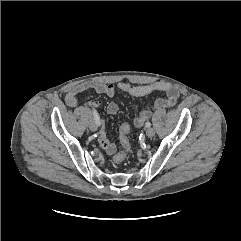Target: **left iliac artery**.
Segmentation results:
<instances>
[{
  "label": "left iliac artery",
  "mask_w": 241,
  "mask_h": 241,
  "mask_svg": "<svg viewBox=\"0 0 241 241\" xmlns=\"http://www.w3.org/2000/svg\"><path fill=\"white\" fill-rule=\"evenodd\" d=\"M145 126H146V127H150V126H151V123H150V122H147Z\"/></svg>",
  "instance_id": "1"
}]
</instances>
